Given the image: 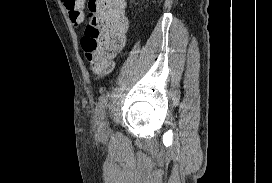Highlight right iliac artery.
<instances>
[{
	"mask_svg": "<svg viewBox=\"0 0 272 183\" xmlns=\"http://www.w3.org/2000/svg\"><path fill=\"white\" fill-rule=\"evenodd\" d=\"M108 95H103L99 99V103L96 108V122L101 123L105 117V108L107 106Z\"/></svg>",
	"mask_w": 272,
	"mask_h": 183,
	"instance_id": "82829eb1",
	"label": "right iliac artery"
}]
</instances>
